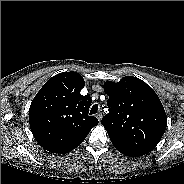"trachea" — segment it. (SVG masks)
Segmentation results:
<instances>
[{
	"mask_svg": "<svg viewBox=\"0 0 184 184\" xmlns=\"http://www.w3.org/2000/svg\"><path fill=\"white\" fill-rule=\"evenodd\" d=\"M98 111V105L95 104L92 106L91 110H90V114L93 115V114H96Z\"/></svg>",
	"mask_w": 184,
	"mask_h": 184,
	"instance_id": "trachea-1",
	"label": "trachea"
}]
</instances>
